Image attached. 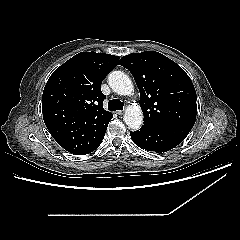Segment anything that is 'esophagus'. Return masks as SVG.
<instances>
[{
    "instance_id": "obj_1",
    "label": "esophagus",
    "mask_w": 240,
    "mask_h": 240,
    "mask_svg": "<svg viewBox=\"0 0 240 240\" xmlns=\"http://www.w3.org/2000/svg\"><path fill=\"white\" fill-rule=\"evenodd\" d=\"M116 113H117L118 115H123V114H124V111L119 110V111H117Z\"/></svg>"
}]
</instances>
